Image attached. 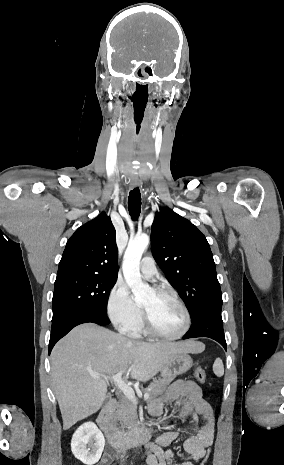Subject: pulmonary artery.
<instances>
[{"mask_svg": "<svg viewBox=\"0 0 284 465\" xmlns=\"http://www.w3.org/2000/svg\"><path fill=\"white\" fill-rule=\"evenodd\" d=\"M153 261L151 254H146L142 263L140 264V273L143 278L149 281H155L158 276V270Z\"/></svg>", "mask_w": 284, "mask_h": 465, "instance_id": "1", "label": "pulmonary artery"}]
</instances>
